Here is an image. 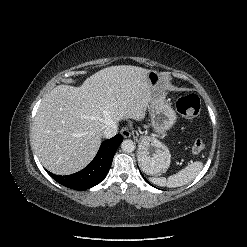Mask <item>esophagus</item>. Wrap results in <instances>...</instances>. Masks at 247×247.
<instances>
[{
    "mask_svg": "<svg viewBox=\"0 0 247 247\" xmlns=\"http://www.w3.org/2000/svg\"><path fill=\"white\" fill-rule=\"evenodd\" d=\"M120 133L124 138H129L132 136V131L129 127H123Z\"/></svg>",
    "mask_w": 247,
    "mask_h": 247,
    "instance_id": "1",
    "label": "esophagus"
}]
</instances>
